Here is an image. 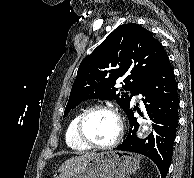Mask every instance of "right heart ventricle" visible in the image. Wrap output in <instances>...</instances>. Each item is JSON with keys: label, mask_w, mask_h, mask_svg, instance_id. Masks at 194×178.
Instances as JSON below:
<instances>
[{"label": "right heart ventricle", "mask_w": 194, "mask_h": 178, "mask_svg": "<svg viewBox=\"0 0 194 178\" xmlns=\"http://www.w3.org/2000/svg\"><path fill=\"white\" fill-rule=\"evenodd\" d=\"M80 116V113L76 114L69 122L66 132H65V141L67 146L75 151H84L89 147L84 145L76 136V123Z\"/></svg>", "instance_id": "1"}]
</instances>
